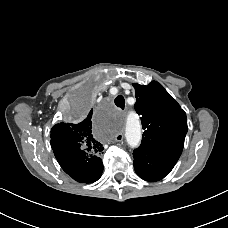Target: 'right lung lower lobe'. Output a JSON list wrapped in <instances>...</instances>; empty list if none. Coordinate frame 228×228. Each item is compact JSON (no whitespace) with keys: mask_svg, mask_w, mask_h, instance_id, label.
I'll use <instances>...</instances> for the list:
<instances>
[{"mask_svg":"<svg viewBox=\"0 0 228 228\" xmlns=\"http://www.w3.org/2000/svg\"><path fill=\"white\" fill-rule=\"evenodd\" d=\"M76 158L77 157L75 155H70L57 160L63 170L78 182L91 183L95 182L101 177L103 165L99 157L90 156L87 157L86 160H84L89 164L92 163V159L95 160L93 162V167L91 168V170L88 171H81L77 169V167L74 165L76 163Z\"/></svg>","mask_w":228,"mask_h":228,"instance_id":"right-lung-lower-lobe-1","label":"right lung lower lobe"}]
</instances>
